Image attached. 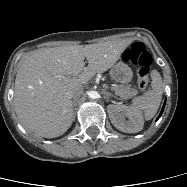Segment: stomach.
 Instances as JSON below:
<instances>
[{"instance_id": "stomach-1", "label": "stomach", "mask_w": 187, "mask_h": 187, "mask_svg": "<svg viewBox=\"0 0 187 187\" xmlns=\"http://www.w3.org/2000/svg\"><path fill=\"white\" fill-rule=\"evenodd\" d=\"M110 75L115 81L124 84L131 81L133 72L126 63L120 61L112 67Z\"/></svg>"}]
</instances>
